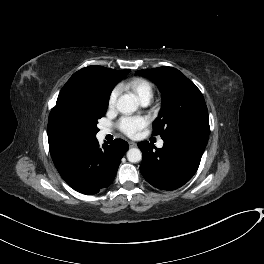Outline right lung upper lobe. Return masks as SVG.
<instances>
[{
  "mask_svg": "<svg viewBox=\"0 0 264 264\" xmlns=\"http://www.w3.org/2000/svg\"><path fill=\"white\" fill-rule=\"evenodd\" d=\"M130 70H114L108 69L103 66H88L77 72H75L71 78L67 81V83L62 88L61 92L66 90L69 87L80 86L83 84L91 83L100 78H114V77H122L126 76ZM124 76V77H125ZM48 142L49 149L52 159L57 156L67 152L68 150L79 146L85 142L92 140L91 138L81 137V138H67L65 137L58 129L56 124L53 121L52 111L49 115L48 120Z\"/></svg>",
  "mask_w": 264,
  "mask_h": 264,
  "instance_id": "right-lung-upper-lobe-1",
  "label": "right lung upper lobe"
}]
</instances>
